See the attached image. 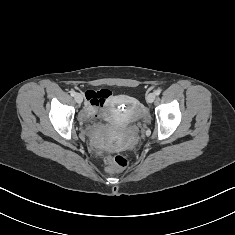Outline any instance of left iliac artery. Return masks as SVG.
I'll list each match as a JSON object with an SVG mask.
<instances>
[{
	"label": "left iliac artery",
	"mask_w": 235,
	"mask_h": 235,
	"mask_svg": "<svg viewBox=\"0 0 235 235\" xmlns=\"http://www.w3.org/2000/svg\"><path fill=\"white\" fill-rule=\"evenodd\" d=\"M155 95H157V96L160 95V90H156Z\"/></svg>",
	"instance_id": "44dca946"
}]
</instances>
